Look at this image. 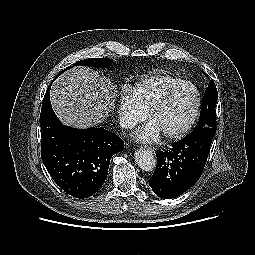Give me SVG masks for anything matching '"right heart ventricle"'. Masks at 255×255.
Wrapping results in <instances>:
<instances>
[{"label": "right heart ventricle", "mask_w": 255, "mask_h": 255, "mask_svg": "<svg viewBox=\"0 0 255 255\" xmlns=\"http://www.w3.org/2000/svg\"><path fill=\"white\" fill-rule=\"evenodd\" d=\"M184 82H186L184 79L174 75L156 74L138 81L133 92L148 113L161 98Z\"/></svg>", "instance_id": "1"}]
</instances>
